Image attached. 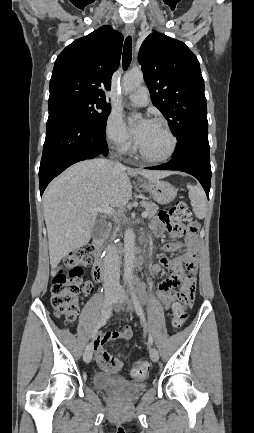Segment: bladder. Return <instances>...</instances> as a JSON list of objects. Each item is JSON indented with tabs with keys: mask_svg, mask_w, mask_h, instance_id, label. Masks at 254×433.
Instances as JSON below:
<instances>
[{
	"mask_svg": "<svg viewBox=\"0 0 254 433\" xmlns=\"http://www.w3.org/2000/svg\"><path fill=\"white\" fill-rule=\"evenodd\" d=\"M94 385L101 391L110 392L114 388L121 386L124 389V395L133 397L139 394L145 387V383L127 382L122 378H111L105 374H97L93 379Z\"/></svg>",
	"mask_w": 254,
	"mask_h": 433,
	"instance_id": "1",
	"label": "bladder"
}]
</instances>
